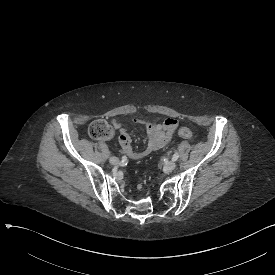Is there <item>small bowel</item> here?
<instances>
[{"label":"small bowel","instance_id":"1","mask_svg":"<svg viewBox=\"0 0 275 275\" xmlns=\"http://www.w3.org/2000/svg\"><path fill=\"white\" fill-rule=\"evenodd\" d=\"M133 123L137 121L146 124V137H145V146L142 149H134L132 146L131 139L133 135L131 133L127 134L126 127L118 128L119 140L121 142L122 149L124 153L131 159H142L154 151H157L165 147L171 139L172 134L174 133L177 121L172 118L165 119L161 124L158 121L153 123L147 122L143 119H139L136 116L131 118Z\"/></svg>","mask_w":275,"mask_h":275}]
</instances>
